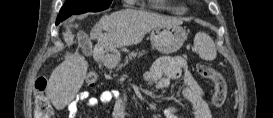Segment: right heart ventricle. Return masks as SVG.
I'll return each instance as SVG.
<instances>
[{
    "label": "right heart ventricle",
    "instance_id": "right-heart-ventricle-1",
    "mask_svg": "<svg viewBox=\"0 0 273 118\" xmlns=\"http://www.w3.org/2000/svg\"><path fill=\"white\" fill-rule=\"evenodd\" d=\"M164 9H167V10H170V11H173L177 14H182V13H185L186 12V8L184 6H181V5H176V6H173V7H164Z\"/></svg>",
    "mask_w": 273,
    "mask_h": 118
}]
</instances>
